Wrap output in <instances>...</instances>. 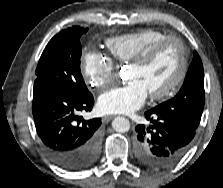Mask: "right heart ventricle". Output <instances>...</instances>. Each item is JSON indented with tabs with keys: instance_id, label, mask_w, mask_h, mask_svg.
<instances>
[{
	"instance_id": "e07e8e85",
	"label": "right heart ventricle",
	"mask_w": 223,
	"mask_h": 188,
	"mask_svg": "<svg viewBox=\"0 0 223 188\" xmlns=\"http://www.w3.org/2000/svg\"><path fill=\"white\" fill-rule=\"evenodd\" d=\"M167 34L154 28L114 36L106 41V48L112 58L119 63H129L147 47L166 37Z\"/></svg>"
}]
</instances>
